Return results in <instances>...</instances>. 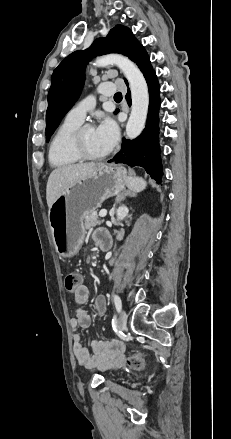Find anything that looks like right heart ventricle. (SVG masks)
Masks as SVG:
<instances>
[{"label": "right heart ventricle", "mask_w": 231, "mask_h": 439, "mask_svg": "<svg viewBox=\"0 0 231 439\" xmlns=\"http://www.w3.org/2000/svg\"><path fill=\"white\" fill-rule=\"evenodd\" d=\"M80 125L81 122L66 117L58 126L48 148V160L52 167L68 168L80 162L70 146L71 136Z\"/></svg>", "instance_id": "right-heart-ventricle-1"}]
</instances>
